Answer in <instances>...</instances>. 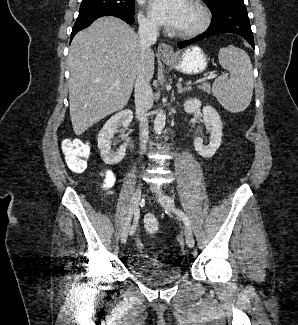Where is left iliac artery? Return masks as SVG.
Masks as SVG:
<instances>
[{
	"label": "left iliac artery",
	"mask_w": 298,
	"mask_h": 325,
	"mask_svg": "<svg viewBox=\"0 0 298 325\" xmlns=\"http://www.w3.org/2000/svg\"><path fill=\"white\" fill-rule=\"evenodd\" d=\"M173 212L176 213L184 221L185 225L191 229L190 221L184 212L179 209H174Z\"/></svg>",
	"instance_id": "obj_1"
}]
</instances>
